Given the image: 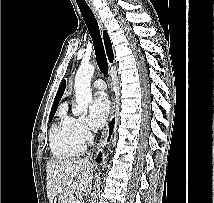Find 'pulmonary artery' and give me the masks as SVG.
Here are the masks:
<instances>
[{"label":"pulmonary artery","mask_w":214,"mask_h":203,"mask_svg":"<svg viewBox=\"0 0 214 203\" xmlns=\"http://www.w3.org/2000/svg\"><path fill=\"white\" fill-rule=\"evenodd\" d=\"M93 86L94 88L98 89V90H104L106 88V84L103 80L101 79H97L93 82Z\"/></svg>","instance_id":"e3ab8cb5"}]
</instances>
